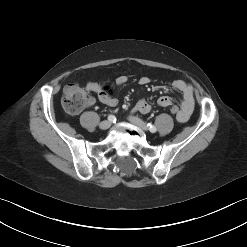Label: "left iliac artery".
<instances>
[{
  "label": "left iliac artery",
  "instance_id": "44dca946",
  "mask_svg": "<svg viewBox=\"0 0 247 247\" xmlns=\"http://www.w3.org/2000/svg\"><path fill=\"white\" fill-rule=\"evenodd\" d=\"M147 126H148V129L150 130V132H152V133L156 132V127L153 124L148 123Z\"/></svg>",
  "mask_w": 247,
  "mask_h": 247
}]
</instances>
